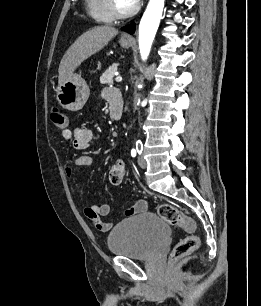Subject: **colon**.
I'll list each match as a JSON object with an SVG mask.
<instances>
[{
	"label": "colon",
	"mask_w": 261,
	"mask_h": 306,
	"mask_svg": "<svg viewBox=\"0 0 261 306\" xmlns=\"http://www.w3.org/2000/svg\"><path fill=\"white\" fill-rule=\"evenodd\" d=\"M50 118L54 127L63 132L67 128V118L64 112L54 107L50 112ZM125 176V163L117 160L109 170V180L113 185H119ZM158 215L168 224L177 226L188 235L181 239L173 249L171 258L176 261L192 251L199 245V238L195 235L196 223L193 218L185 215L182 211L170 204H160L157 208Z\"/></svg>",
	"instance_id": "5ec220e1"
}]
</instances>
